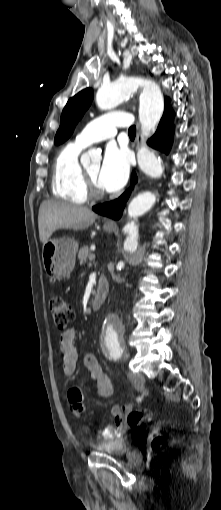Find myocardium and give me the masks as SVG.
Here are the masks:
<instances>
[{
  "label": "myocardium",
  "mask_w": 221,
  "mask_h": 510,
  "mask_svg": "<svg viewBox=\"0 0 221 510\" xmlns=\"http://www.w3.org/2000/svg\"><path fill=\"white\" fill-rule=\"evenodd\" d=\"M84 187L86 196L89 199L99 200L105 197V192L102 191L95 182L91 179L86 170L83 169Z\"/></svg>",
  "instance_id": "f54148a6"
}]
</instances>
